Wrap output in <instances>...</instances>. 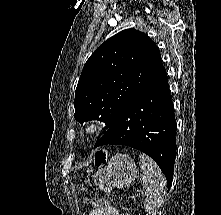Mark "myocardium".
Listing matches in <instances>:
<instances>
[{
    "label": "myocardium",
    "instance_id": "myocardium-1",
    "mask_svg": "<svg viewBox=\"0 0 221 215\" xmlns=\"http://www.w3.org/2000/svg\"><path fill=\"white\" fill-rule=\"evenodd\" d=\"M102 129V122L98 118L86 120L81 128V132L85 138L95 137Z\"/></svg>",
    "mask_w": 221,
    "mask_h": 215
}]
</instances>
